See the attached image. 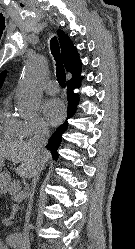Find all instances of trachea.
<instances>
[{"mask_svg": "<svg viewBox=\"0 0 135 249\" xmlns=\"http://www.w3.org/2000/svg\"><path fill=\"white\" fill-rule=\"evenodd\" d=\"M50 46H51L52 55L54 56V59L56 62V75H57L58 83L62 87H65L66 86L65 84L66 74H65V69L63 66V62H62L59 43L56 37L51 39Z\"/></svg>", "mask_w": 135, "mask_h": 249, "instance_id": "3493384b", "label": "trachea"}]
</instances>
